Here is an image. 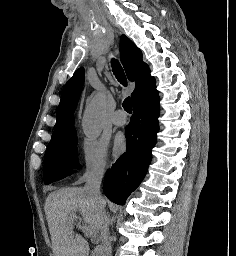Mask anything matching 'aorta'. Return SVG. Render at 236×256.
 I'll return each instance as SVG.
<instances>
[{"label":"aorta","instance_id":"1","mask_svg":"<svg viewBox=\"0 0 236 256\" xmlns=\"http://www.w3.org/2000/svg\"><path fill=\"white\" fill-rule=\"evenodd\" d=\"M104 113L105 99L98 93L88 104L82 120L83 132L88 139H95L101 134Z\"/></svg>","mask_w":236,"mask_h":256}]
</instances>
